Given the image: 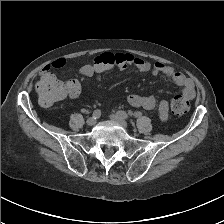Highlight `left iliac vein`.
I'll list each match as a JSON object with an SVG mask.
<instances>
[{
	"instance_id": "left-iliac-vein-1",
	"label": "left iliac vein",
	"mask_w": 224,
	"mask_h": 224,
	"mask_svg": "<svg viewBox=\"0 0 224 224\" xmlns=\"http://www.w3.org/2000/svg\"><path fill=\"white\" fill-rule=\"evenodd\" d=\"M110 118H111V120H113L114 122L118 123L122 127H124V128H127L128 127V123L122 117H120L119 115L112 114L110 116Z\"/></svg>"
}]
</instances>
